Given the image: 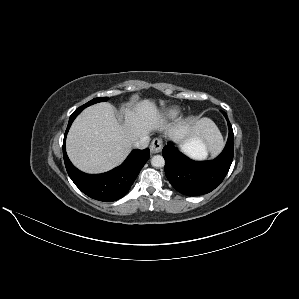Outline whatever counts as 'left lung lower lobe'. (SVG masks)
<instances>
[{"mask_svg": "<svg viewBox=\"0 0 299 299\" xmlns=\"http://www.w3.org/2000/svg\"><path fill=\"white\" fill-rule=\"evenodd\" d=\"M229 135L226 146L212 161L196 162L183 155L171 142L163 148L165 174L180 193L197 196L211 192L225 178L233 160V129L225 112Z\"/></svg>", "mask_w": 299, "mask_h": 299, "instance_id": "1", "label": "left lung lower lobe"}]
</instances>
